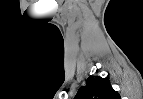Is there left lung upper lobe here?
Instances as JSON below:
<instances>
[{
    "instance_id": "1",
    "label": "left lung upper lobe",
    "mask_w": 143,
    "mask_h": 99,
    "mask_svg": "<svg viewBox=\"0 0 143 99\" xmlns=\"http://www.w3.org/2000/svg\"><path fill=\"white\" fill-rule=\"evenodd\" d=\"M74 99H120L107 78L89 77L86 86L80 87Z\"/></svg>"
}]
</instances>
